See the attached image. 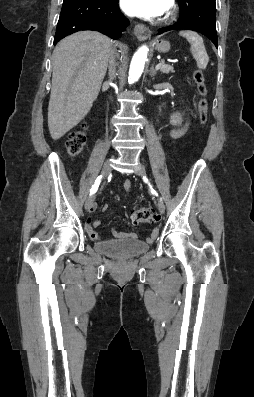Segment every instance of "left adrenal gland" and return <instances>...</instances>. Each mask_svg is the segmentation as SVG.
I'll return each mask as SVG.
<instances>
[{
    "mask_svg": "<svg viewBox=\"0 0 254 397\" xmlns=\"http://www.w3.org/2000/svg\"><path fill=\"white\" fill-rule=\"evenodd\" d=\"M150 76L152 77V79H154L156 76V70L154 69V65H152L150 69Z\"/></svg>",
    "mask_w": 254,
    "mask_h": 397,
    "instance_id": "obj_1",
    "label": "left adrenal gland"
}]
</instances>
